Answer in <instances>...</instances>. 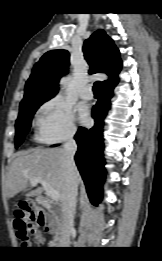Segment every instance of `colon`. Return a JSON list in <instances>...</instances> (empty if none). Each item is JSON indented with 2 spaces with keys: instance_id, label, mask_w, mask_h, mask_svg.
I'll return each mask as SVG.
<instances>
[{
  "instance_id": "colon-1",
  "label": "colon",
  "mask_w": 162,
  "mask_h": 261,
  "mask_svg": "<svg viewBox=\"0 0 162 261\" xmlns=\"http://www.w3.org/2000/svg\"><path fill=\"white\" fill-rule=\"evenodd\" d=\"M44 219L43 210L31 204H23L16 211L14 226L24 246L31 245L29 239L37 236L38 228L43 227Z\"/></svg>"
}]
</instances>
